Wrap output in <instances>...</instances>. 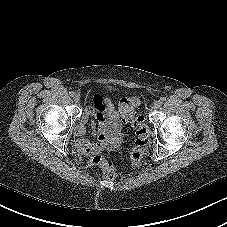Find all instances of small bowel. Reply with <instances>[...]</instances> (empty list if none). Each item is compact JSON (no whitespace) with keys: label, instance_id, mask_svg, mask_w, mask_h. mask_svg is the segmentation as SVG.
<instances>
[{"label":"small bowel","instance_id":"obj_1","mask_svg":"<svg viewBox=\"0 0 227 227\" xmlns=\"http://www.w3.org/2000/svg\"><path fill=\"white\" fill-rule=\"evenodd\" d=\"M121 102L122 100L117 109L110 98L94 94L93 105L85 110L83 118L75 129L76 147L81 153L85 155L98 153L104 148L109 132L119 130ZM89 129L97 136L96 142L86 138Z\"/></svg>","mask_w":227,"mask_h":227}]
</instances>
